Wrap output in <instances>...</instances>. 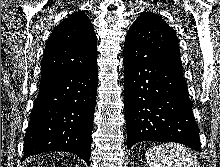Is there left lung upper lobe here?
Returning <instances> with one entry per match:
<instances>
[{"label": "left lung upper lobe", "mask_w": 220, "mask_h": 167, "mask_svg": "<svg viewBox=\"0 0 220 167\" xmlns=\"http://www.w3.org/2000/svg\"><path fill=\"white\" fill-rule=\"evenodd\" d=\"M124 54L139 61H153L181 69L175 31L158 15L142 12L128 30Z\"/></svg>", "instance_id": "1"}]
</instances>
